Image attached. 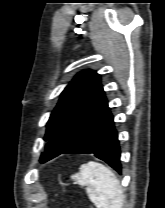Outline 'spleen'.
Here are the masks:
<instances>
[{
    "label": "spleen",
    "mask_w": 165,
    "mask_h": 208,
    "mask_svg": "<svg viewBox=\"0 0 165 208\" xmlns=\"http://www.w3.org/2000/svg\"><path fill=\"white\" fill-rule=\"evenodd\" d=\"M71 178L86 187L90 201L97 208H122L124 196L120 181L101 163L90 161L83 164Z\"/></svg>",
    "instance_id": "obj_1"
}]
</instances>
